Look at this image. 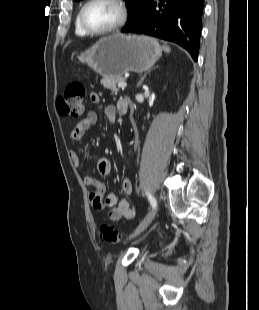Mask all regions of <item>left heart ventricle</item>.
I'll return each instance as SVG.
<instances>
[{
    "mask_svg": "<svg viewBox=\"0 0 259 310\" xmlns=\"http://www.w3.org/2000/svg\"><path fill=\"white\" fill-rule=\"evenodd\" d=\"M119 16L118 7L108 0L95 1L84 12L86 24L94 30L110 27L118 21Z\"/></svg>",
    "mask_w": 259,
    "mask_h": 310,
    "instance_id": "obj_1",
    "label": "left heart ventricle"
}]
</instances>
